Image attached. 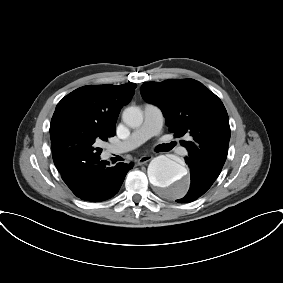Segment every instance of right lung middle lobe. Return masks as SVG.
<instances>
[{
  "mask_svg": "<svg viewBox=\"0 0 283 283\" xmlns=\"http://www.w3.org/2000/svg\"><path fill=\"white\" fill-rule=\"evenodd\" d=\"M67 160L81 161L84 157L100 155L102 149L98 145L107 141V134L94 126H79L71 124L67 130Z\"/></svg>",
  "mask_w": 283,
  "mask_h": 283,
  "instance_id": "right-lung-middle-lobe-1",
  "label": "right lung middle lobe"
}]
</instances>
